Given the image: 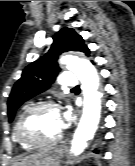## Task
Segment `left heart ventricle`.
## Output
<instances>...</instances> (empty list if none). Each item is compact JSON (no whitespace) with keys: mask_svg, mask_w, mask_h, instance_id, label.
Segmentation results:
<instances>
[{"mask_svg":"<svg viewBox=\"0 0 135 166\" xmlns=\"http://www.w3.org/2000/svg\"><path fill=\"white\" fill-rule=\"evenodd\" d=\"M60 112L45 109L31 114L23 123V134L35 140H52L62 132Z\"/></svg>","mask_w":135,"mask_h":166,"instance_id":"1","label":"left heart ventricle"}]
</instances>
